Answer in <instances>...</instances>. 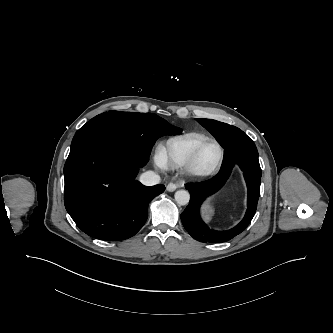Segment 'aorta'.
Wrapping results in <instances>:
<instances>
[{"instance_id": "1", "label": "aorta", "mask_w": 333, "mask_h": 333, "mask_svg": "<svg viewBox=\"0 0 333 333\" xmlns=\"http://www.w3.org/2000/svg\"><path fill=\"white\" fill-rule=\"evenodd\" d=\"M174 197H175V201L179 205H186L189 203V200H190V194L186 190L176 191Z\"/></svg>"}]
</instances>
